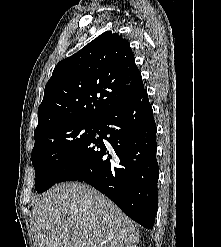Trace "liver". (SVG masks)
<instances>
[{"label":"liver","instance_id":"6515ba94","mask_svg":"<svg viewBox=\"0 0 221 247\" xmlns=\"http://www.w3.org/2000/svg\"><path fill=\"white\" fill-rule=\"evenodd\" d=\"M36 247H123L139 241L132 221L107 197L78 182L55 185L32 210Z\"/></svg>","mask_w":221,"mask_h":247}]
</instances>
